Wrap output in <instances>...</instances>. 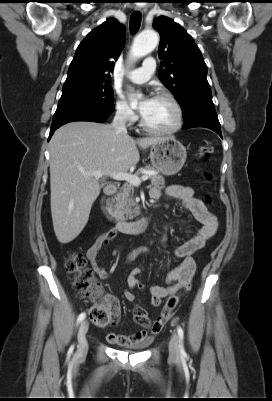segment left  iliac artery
<instances>
[{
  "instance_id": "44dca946",
  "label": "left iliac artery",
  "mask_w": 272,
  "mask_h": 401,
  "mask_svg": "<svg viewBox=\"0 0 272 401\" xmlns=\"http://www.w3.org/2000/svg\"><path fill=\"white\" fill-rule=\"evenodd\" d=\"M177 332H178V335L180 337V345H179L180 352H181V354H185V350H184V346H183L184 331L180 326H178L177 327Z\"/></svg>"
}]
</instances>
